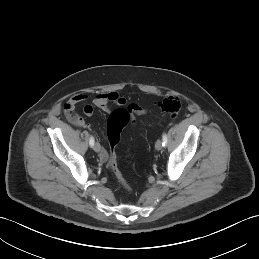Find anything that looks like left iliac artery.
I'll list each match as a JSON object with an SVG mask.
<instances>
[{
    "mask_svg": "<svg viewBox=\"0 0 259 259\" xmlns=\"http://www.w3.org/2000/svg\"><path fill=\"white\" fill-rule=\"evenodd\" d=\"M162 146H167V135L166 133L163 134L162 136Z\"/></svg>",
    "mask_w": 259,
    "mask_h": 259,
    "instance_id": "left-iliac-artery-1",
    "label": "left iliac artery"
}]
</instances>
